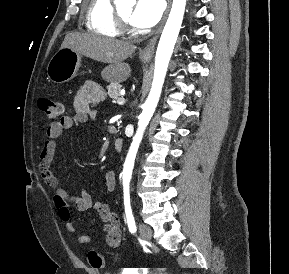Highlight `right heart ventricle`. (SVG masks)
Wrapping results in <instances>:
<instances>
[{
	"instance_id": "right-heart-ventricle-1",
	"label": "right heart ventricle",
	"mask_w": 289,
	"mask_h": 274,
	"mask_svg": "<svg viewBox=\"0 0 289 274\" xmlns=\"http://www.w3.org/2000/svg\"><path fill=\"white\" fill-rule=\"evenodd\" d=\"M84 16L87 29L96 34L114 38L121 33L112 0H87Z\"/></svg>"
}]
</instances>
